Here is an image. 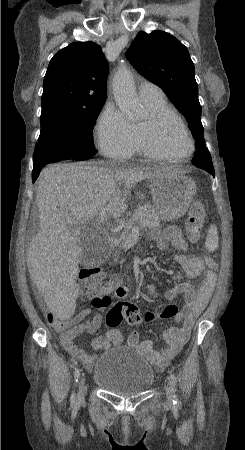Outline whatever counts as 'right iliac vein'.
<instances>
[{
    "label": "right iliac vein",
    "instance_id": "right-iliac-vein-1",
    "mask_svg": "<svg viewBox=\"0 0 245 450\" xmlns=\"http://www.w3.org/2000/svg\"><path fill=\"white\" fill-rule=\"evenodd\" d=\"M86 392H87L86 380L84 377H81L78 383V400L84 399Z\"/></svg>",
    "mask_w": 245,
    "mask_h": 450
}]
</instances>
